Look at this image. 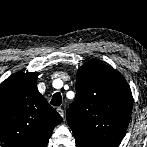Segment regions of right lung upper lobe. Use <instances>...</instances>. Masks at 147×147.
Returning a JSON list of instances; mask_svg holds the SVG:
<instances>
[{
    "mask_svg": "<svg viewBox=\"0 0 147 147\" xmlns=\"http://www.w3.org/2000/svg\"><path fill=\"white\" fill-rule=\"evenodd\" d=\"M37 72H18L0 85V143L46 147L61 116L38 92Z\"/></svg>",
    "mask_w": 147,
    "mask_h": 147,
    "instance_id": "obj_1",
    "label": "right lung upper lobe"
}]
</instances>
